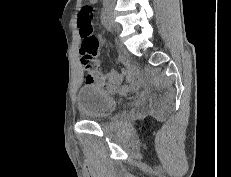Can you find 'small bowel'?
<instances>
[{
    "mask_svg": "<svg viewBox=\"0 0 231 177\" xmlns=\"http://www.w3.org/2000/svg\"><path fill=\"white\" fill-rule=\"evenodd\" d=\"M91 1L94 2L95 0ZM96 66L94 61L90 67L84 66L86 81L89 84L103 87L107 92L125 94L137 89L142 84L137 69L132 66H125L121 72L108 70L104 74L98 73Z\"/></svg>",
    "mask_w": 231,
    "mask_h": 177,
    "instance_id": "c3829d8e",
    "label": "small bowel"
}]
</instances>
